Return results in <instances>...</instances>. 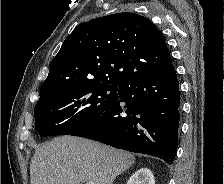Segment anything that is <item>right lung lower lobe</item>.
Here are the masks:
<instances>
[{
  "mask_svg": "<svg viewBox=\"0 0 224 184\" xmlns=\"http://www.w3.org/2000/svg\"><path fill=\"white\" fill-rule=\"evenodd\" d=\"M180 92L175 69L126 82L99 117L70 135L173 163L178 145Z\"/></svg>",
  "mask_w": 224,
  "mask_h": 184,
  "instance_id": "right-lung-lower-lobe-1",
  "label": "right lung lower lobe"
}]
</instances>
